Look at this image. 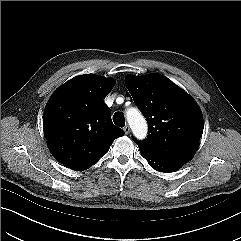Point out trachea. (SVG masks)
I'll return each mask as SVG.
<instances>
[{
	"mask_svg": "<svg viewBox=\"0 0 241 241\" xmlns=\"http://www.w3.org/2000/svg\"><path fill=\"white\" fill-rule=\"evenodd\" d=\"M113 121H114L115 125H117L119 127L125 126V118L121 112H116L113 115Z\"/></svg>",
	"mask_w": 241,
	"mask_h": 241,
	"instance_id": "obj_1",
	"label": "trachea"
}]
</instances>
